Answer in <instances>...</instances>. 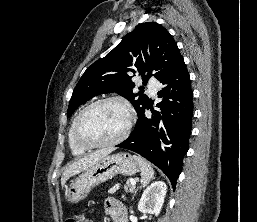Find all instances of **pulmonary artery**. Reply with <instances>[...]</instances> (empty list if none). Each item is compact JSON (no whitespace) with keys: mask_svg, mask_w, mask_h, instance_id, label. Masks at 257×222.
Instances as JSON below:
<instances>
[{"mask_svg":"<svg viewBox=\"0 0 257 222\" xmlns=\"http://www.w3.org/2000/svg\"><path fill=\"white\" fill-rule=\"evenodd\" d=\"M159 83L155 79H150L148 82V88L151 91L152 94H155L157 92Z\"/></svg>","mask_w":257,"mask_h":222,"instance_id":"pulmonary-artery-1","label":"pulmonary artery"}]
</instances>
